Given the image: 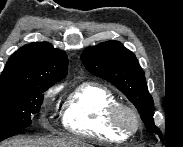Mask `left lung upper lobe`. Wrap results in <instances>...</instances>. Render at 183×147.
Wrapping results in <instances>:
<instances>
[{"label":"left lung upper lobe","mask_w":183,"mask_h":147,"mask_svg":"<svg viewBox=\"0 0 183 147\" xmlns=\"http://www.w3.org/2000/svg\"><path fill=\"white\" fill-rule=\"evenodd\" d=\"M86 69L117 87L135 105L149 131L158 133L154 125V102L136 56L118 41H107L84 50L81 56Z\"/></svg>","instance_id":"5c2ea615"}]
</instances>
